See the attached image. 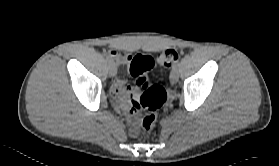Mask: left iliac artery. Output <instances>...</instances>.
Returning a JSON list of instances; mask_svg holds the SVG:
<instances>
[{"mask_svg":"<svg viewBox=\"0 0 279 166\" xmlns=\"http://www.w3.org/2000/svg\"><path fill=\"white\" fill-rule=\"evenodd\" d=\"M178 65H179V63H178V61H177V62L174 63L173 68L178 67Z\"/></svg>","mask_w":279,"mask_h":166,"instance_id":"obj_1","label":"left iliac artery"}]
</instances>
